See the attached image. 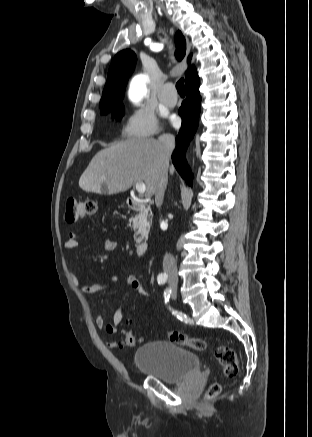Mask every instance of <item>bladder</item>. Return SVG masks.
I'll list each match as a JSON object with an SVG mask.
<instances>
[{
    "instance_id": "obj_1",
    "label": "bladder",
    "mask_w": 312,
    "mask_h": 437,
    "mask_svg": "<svg viewBox=\"0 0 312 437\" xmlns=\"http://www.w3.org/2000/svg\"><path fill=\"white\" fill-rule=\"evenodd\" d=\"M136 368L166 383H180L191 375H200L198 356L171 341L144 344L134 355Z\"/></svg>"
}]
</instances>
